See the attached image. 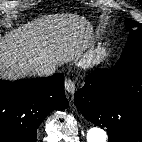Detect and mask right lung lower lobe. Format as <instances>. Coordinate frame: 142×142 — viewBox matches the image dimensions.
<instances>
[{
  "label": "right lung lower lobe",
  "mask_w": 142,
  "mask_h": 142,
  "mask_svg": "<svg viewBox=\"0 0 142 142\" xmlns=\"http://www.w3.org/2000/svg\"><path fill=\"white\" fill-rule=\"evenodd\" d=\"M64 76L0 80V142H36L37 129L55 109H66Z\"/></svg>",
  "instance_id": "1"
}]
</instances>
